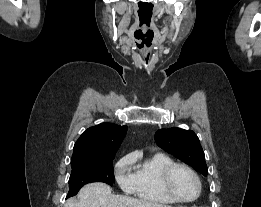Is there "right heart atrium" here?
<instances>
[{
  "instance_id": "1",
  "label": "right heart atrium",
  "mask_w": 261,
  "mask_h": 207,
  "mask_svg": "<svg viewBox=\"0 0 261 207\" xmlns=\"http://www.w3.org/2000/svg\"><path fill=\"white\" fill-rule=\"evenodd\" d=\"M115 177L121 189L128 193H134L137 185L136 173L133 171V157L126 155L115 165Z\"/></svg>"
}]
</instances>
